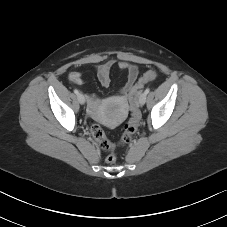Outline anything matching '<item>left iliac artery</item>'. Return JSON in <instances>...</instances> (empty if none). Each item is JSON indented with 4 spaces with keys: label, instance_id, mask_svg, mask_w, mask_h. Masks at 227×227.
I'll list each match as a JSON object with an SVG mask.
<instances>
[{
    "label": "left iliac artery",
    "instance_id": "44dca946",
    "mask_svg": "<svg viewBox=\"0 0 227 227\" xmlns=\"http://www.w3.org/2000/svg\"><path fill=\"white\" fill-rule=\"evenodd\" d=\"M149 92H150V89H149V88H147V89L144 91L145 94H148Z\"/></svg>",
    "mask_w": 227,
    "mask_h": 227
}]
</instances>
